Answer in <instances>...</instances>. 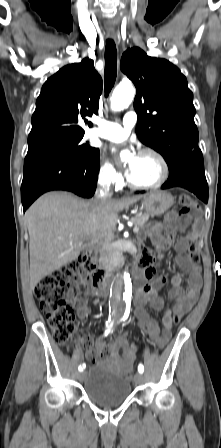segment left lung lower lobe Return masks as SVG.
<instances>
[{
  "mask_svg": "<svg viewBox=\"0 0 221 448\" xmlns=\"http://www.w3.org/2000/svg\"><path fill=\"white\" fill-rule=\"evenodd\" d=\"M168 167L169 178L162 185V189L183 187L196 194L205 203L208 202V184L201 150L177 158Z\"/></svg>",
  "mask_w": 221,
  "mask_h": 448,
  "instance_id": "1",
  "label": "left lung lower lobe"
}]
</instances>
